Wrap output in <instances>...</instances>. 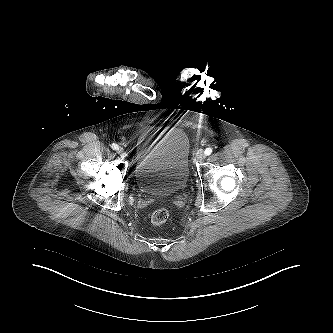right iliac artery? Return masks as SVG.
Wrapping results in <instances>:
<instances>
[{
	"instance_id": "82829eb1",
	"label": "right iliac artery",
	"mask_w": 333,
	"mask_h": 333,
	"mask_svg": "<svg viewBox=\"0 0 333 333\" xmlns=\"http://www.w3.org/2000/svg\"><path fill=\"white\" fill-rule=\"evenodd\" d=\"M111 148H112L113 150H118V149H119V146H118L117 144L113 143V144L111 145Z\"/></svg>"
}]
</instances>
